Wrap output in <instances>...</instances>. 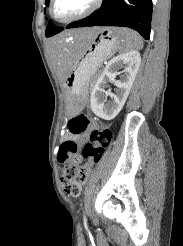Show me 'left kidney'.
Here are the masks:
<instances>
[{
  "mask_svg": "<svg viewBox=\"0 0 183 246\" xmlns=\"http://www.w3.org/2000/svg\"><path fill=\"white\" fill-rule=\"evenodd\" d=\"M140 63L141 56L138 51L119 54L108 62L91 93L90 105L95 115L104 120H112L118 115L130 93ZM121 67L125 68L124 75L120 80H115L117 70ZM108 81H112L117 87L116 94L105 91ZM107 96H110L112 101L105 104Z\"/></svg>",
  "mask_w": 183,
  "mask_h": 246,
  "instance_id": "1",
  "label": "left kidney"
}]
</instances>
